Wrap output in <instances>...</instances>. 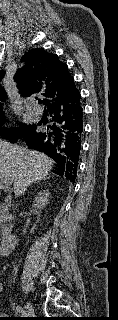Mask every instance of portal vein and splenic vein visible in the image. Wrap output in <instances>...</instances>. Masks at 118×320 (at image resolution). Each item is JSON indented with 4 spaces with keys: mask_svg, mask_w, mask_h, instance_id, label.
I'll return each mask as SVG.
<instances>
[{
    "mask_svg": "<svg viewBox=\"0 0 118 320\" xmlns=\"http://www.w3.org/2000/svg\"><path fill=\"white\" fill-rule=\"evenodd\" d=\"M1 182L3 183V185L5 186V188H8V186L10 184H12V182L8 179H1Z\"/></svg>",
    "mask_w": 118,
    "mask_h": 320,
    "instance_id": "1",
    "label": "portal vein and splenic vein"
}]
</instances>
